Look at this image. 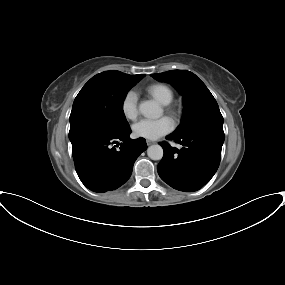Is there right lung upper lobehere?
Masks as SVG:
<instances>
[{
    "label": "right lung upper lobe",
    "instance_id": "right-lung-upper-lobe-1",
    "mask_svg": "<svg viewBox=\"0 0 285 285\" xmlns=\"http://www.w3.org/2000/svg\"><path fill=\"white\" fill-rule=\"evenodd\" d=\"M144 77V75H128L119 71H107L92 77L88 82H97V81H139Z\"/></svg>",
    "mask_w": 285,
    "mask_h": 285
}]
</instances>
